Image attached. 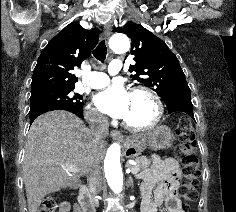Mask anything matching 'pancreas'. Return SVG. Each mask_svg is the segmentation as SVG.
I'll return each mask as SVG.
<instances>
[{
  "mask_svg": "<svg viewBox=\"0 0 236 212\" xmlns=\"http://www.w3.org/2000/svg\"><path fill=\"white\" fill-rule=\"evenodd\" d=\"M135 161L137 162L136 165H127V167L131 169L136 168L140 171V170L148 168L150 165V160H148L146 156L137 157Z\"/></svg>",
  "mask_w": 236,
  "mask_h": 212,
  "instance_id": "pancreas-1",
  "label": "pancreas"
}]
</instances>
